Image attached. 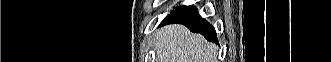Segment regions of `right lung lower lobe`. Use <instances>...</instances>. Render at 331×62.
I'll use <instances>...</instances> for the list:
<instances>
[{
	"label": "right lung lower lobe",
	"instance_id": "right-lung-lower-lobe-1",
	"mask_svg": "<svg viewBox=\"0 0 331 62\" xmlns=\"http://www.w3.org/2000/svg\"><path fill=\"white\" fill-rule=\"evenodd\" d=\"M170 23L183 24L190 31L202 34L208 41L218 43L213 26L199 16L194 6H179L175 8L162 21L163 25Z\"/></svg>",
	"mask_w": 331,
	"mask_h": 62
}]
</instances>
